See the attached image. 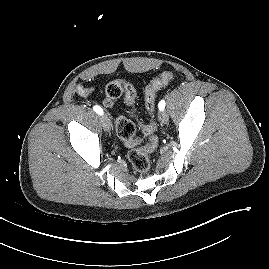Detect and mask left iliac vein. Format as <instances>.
<instances>
[{"mask_svg":"<svg viewBox=\"0 0 269 269\" xmlns=\"http://www.w3.org/2000/svg\"><path fill=\"white\" fill-rule=\"evenodd\" d=\"M168 114L165 112V111H161L159 113V121L162 123V124H166L168 122Z\"/></svg>","mask_w":269,"mask_h":269,"instance_id":"4c4485c4","label":"left iliac vein"}]
</instances>
